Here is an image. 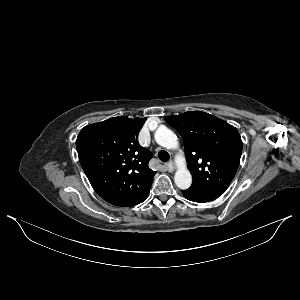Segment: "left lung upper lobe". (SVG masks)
Returning a JSON list of instances; mask_svg holds the SVG:
<instances>
[{
  "label": "left lung upper lobe",
  "mask_w": 300,
  "mask_h": 300,
  "mask_svg": "<svg viewBox=\"0 0 300 300\" xmlns=\"http://www.w3.org/2000/svg\"><path fill=\"white\" fill-rule=\"evenodd\" d=\"M165 121L183 138L193 177L190 188L223 194L236 174L242 153L237 129L201 111L166 116Z\"/></svg>",
  "instance_id": "5c2ea615"
}]
</instances>
